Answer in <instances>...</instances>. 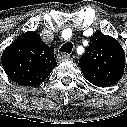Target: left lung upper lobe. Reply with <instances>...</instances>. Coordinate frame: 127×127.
<instances>
[{"instance_id": "1", "label": "left lung upper lobe", "mask_w": 127, "mask_h": 127, "mask_svg": "<svg viewBox=\"0 0 127 127\" xmlns=\"http://www.w3.org/2000/svg\"><path fill=\"white\" fill-rule=\"evenodd\" d=\"M78 65L90 83L108 87L118 82L124 74L125 52L113 37L94 33Z\"/></svg>"}]
</instances>
